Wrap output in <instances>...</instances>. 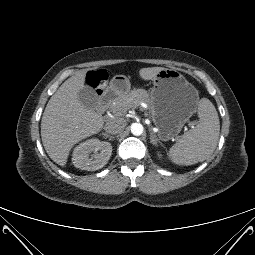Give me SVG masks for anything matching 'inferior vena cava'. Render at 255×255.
<instances>
[{
	"mask_svg": "<svg viewBox=\"0 0 255 255\" xmlns=\"http://www.w3.org/2000/svg\"><path fill=\"white\" fill-rule=\"evenodd\" d=\"M125 125L124 119L109 120L104 129L106 134L116 135L120 134L124 130Z\"/></svg>",
	"mask_w": 255,
	"mask_h": 255,
	"instance_id": "602c4592",
	"label": "inferior vena cava"
}]
</instances>
